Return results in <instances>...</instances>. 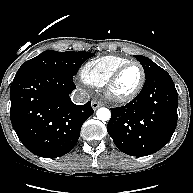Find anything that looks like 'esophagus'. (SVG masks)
<instances>
[{"instance_id": "34e87169", "label": "esophagus", "mask_w": 193, "mask_h": 193, "mask_svg": "<svg viewBox=\"0 0 193 193\" xmlns=\"http://www.w3.org/2000/svg\"><path fill=\"white\" fill-rule=\"evenodd\" d=\"M91 105H92V108L94 110H96V109H98L99 107L102 106V104L100 102H97V101H92Z\"/></svg>"}]
</instances>
